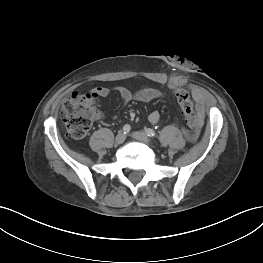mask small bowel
Masks as SVG:
<instances>
[{"label":"small bowel","instance_id":"obj_1","mask_svg":"<svg viewBox=\"0 0 263 263\" xmlns=\"http://www.w3.org/2000/svg\"><path fill=\"white\" fill-rule=\"evenodd\" d=\"M93 92L99 97H106L110 93V89L106 87H96ZM116 92L119 94L121 99L124 102H129L132 100L141 101V102H149L160 98L162 93L151 86H141L135 92L131 91L127 87L119 86L116 88ZM193 98L196 102L197 110H198V121L199 126L196 134L187 133L186 129L182 130V133L185 134V137L192 140V143H197L200 140V137L204 134V130L206 127V118L204 114V95L199 90H193ZM149 122L152 124H157L160 121V113L158 111H153L150 113Z\"/></svg>","mask_w":263,"mask_h":263}]
</instances>
